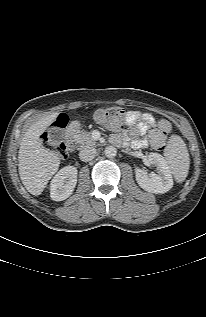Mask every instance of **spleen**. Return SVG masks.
I'll use <instances>...</instances> for the list:
<instances>
[{"mask_svg":"<svg viewBox=\"0 0 206 317\" xmlns=\"http://www.w3.org/2000/svg\"><path fill=\"white\" fill-rule=\"evenodd\" d=\"M165 161L178 183L183 182L189 171L190 159L187 147L178 135H172L164 150Z\"/></svg>","mask_w":206,"mask_h":317,"instance_id":"3e777b00","label":"spleen"}]
</instances>
